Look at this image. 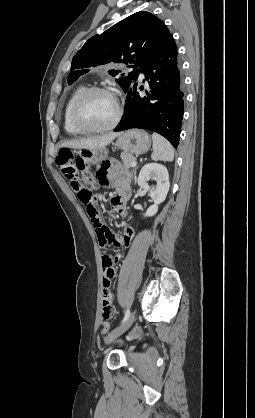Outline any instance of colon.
<instances>
[{"label":"colon","mask_w":255,"mask_h":418,"mask_svg":"<svg viewBox=\"0 0 255 418\" xmlns=\"http://www.w3.org/2000/svg\"><path fill=\"white\" fill-rule=\"evenodd\" d=\"M57 165L62 175L70 182L72 189L78 194L80 201L86 205L87 213L95 227L96 233L98 227H105L99 219L97 210V196L87 184L93 182L92 172L85 167L84 163L75 159L72 151L63 149L57 156ZM111 233V232H110ZM98 236V234H97ZM109 330L107 321H103L101 331L106 334Z\"/></svg>","instance_id":"5ec220e1"}]
</instances>
